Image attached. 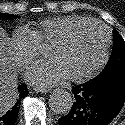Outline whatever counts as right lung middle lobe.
<instances>
[{
	"mask_svg": "<svg viewBox=\"0 0 125 125\" xmlns=\"http://www.w3.org/2000/svg\"><path fill=\"white\" fill-rule=\"evenodd\" d=\"M0 17L7 18V19H13L16 16L13 14L0 13Z\"/></svg>",
	"mask_w": 125,
	"mask_h": 125,
	"instance_id": "right-lung-middle-lobe-1",
	"label": "right lung middle lobe"
}]
</instances>
